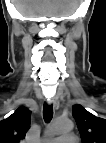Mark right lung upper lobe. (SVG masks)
I'll use <instances>...</instances> for the list:
<instances>
[{
	"instance_id": "right-lung-upper-lobe-1",
	"label": "right lung upper lobe",
	"mask_w": 106,
	"mask_h": 143,
	"mask_svg": "<svg viewBox=\"0 0 106 143\" xmlns=\"http://www.w3.org/2000/svg\"><path fill=\"white\" fill-rule=\"evenodd\" d=\"M31 112L19 107L8 118L0 121V143H20L30 128Z\"/></svg>"
}]
</instances>
